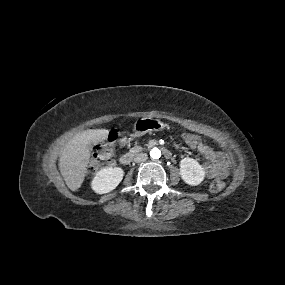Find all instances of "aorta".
I'll list each match as a JSON object with an SVG mask.
<instances>
[{"mask_svg":"<svg viewBox=\"0 0 285 285\" xmlns=\"http://www.w3.org/2000/svg\"><path fill=\"white\" fill-rule=\"evenodd\" d=\"M150 157L152 159H159L161 157V151L158 148H153L150 150Z\"/></svg>","mask_w":285,"mask_h":285,"instance_id":"aorta-1","label":"aorta"}]
</instances>
